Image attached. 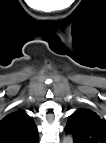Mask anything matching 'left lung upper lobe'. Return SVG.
<instances>
[{"label": "left lung upper lobe", "mask_w": 106, "mask_h": 143, "mask_svg": "<svg viewBox=\"0 0 106 143\" xmlns=\"http://www.w3.org/2000/svg\"><path fill=\"white\" fill-rule=\"evenodd\" d=\"M65 132L73 135L74 143H106V120L89 109L79 108L69 116Z\"/></svg>", "instance_id": "1"}]
</instances>
